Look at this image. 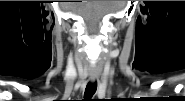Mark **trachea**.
I'll return each mask as SVG.
<instances>
[{"instance_id":"trachea-1","label":"trachea","mask_w":185,"mask_h":101,"mask_svg":"<svg viewBox=\"0 0 185 101\" xmlns=\"http://www.w3.org/2000/svg\"><path fill=\"white\" fill-rule=\"evenodd\" d=\"M96 90H97V83L89 82L86 86L85 93H84L85 101H91L92 100L91 98L95 94Z\"/></svg>"}]
</instances>
